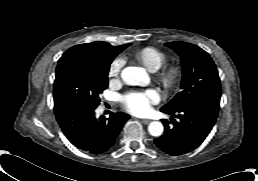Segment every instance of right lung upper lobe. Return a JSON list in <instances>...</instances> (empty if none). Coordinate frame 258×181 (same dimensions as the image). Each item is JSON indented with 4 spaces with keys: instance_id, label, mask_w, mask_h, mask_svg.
I'll return each instance as SVG.
<instances>
[{
    "instance_id": "1",
    "label": "right lung upper lobe",
    "mask_w": 258,
    "mask_h": 181,
    "mask_svg": "<svg viewBox=\"0 0 258 181\" xmlns=\"http://www.w3.org/2000/svg\"><path fill=\"white\" fill-rule=\"evenodd\" d=\"M124 45L112 46L107 42L95 41L92 43L76 45L71 50L81 51L94 58L112 62V60L124 49Z\"/></svg>"
}]
</instances>
